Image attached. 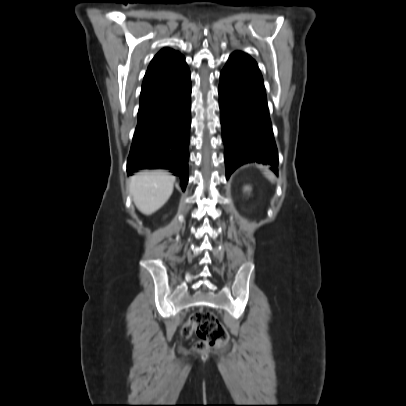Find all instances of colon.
<instances>
[{"label": "colon", "mask_w": 406, "mask_h": 406, "mask_svg": "<svg viewBox=\"0 0 406 406\" xmlns=\"http://www.w3.org/2000/svg\"><path fill=\"white\" fill-rule=\"evenodd\" d=\"M195 331L199 337L197 349L204 350L214 346H224L228 342V333L216 315L209 310H199L192 314L182 328V335L189 337Z\"/></svg>", "instance_id": "5ec220e1"}]
</instances>
